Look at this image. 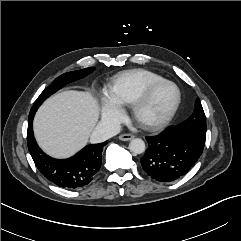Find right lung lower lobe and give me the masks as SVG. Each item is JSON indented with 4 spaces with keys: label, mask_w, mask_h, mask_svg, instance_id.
<instances>
[{
    "label": "right lung lower lobe",
    "mask_w": 241,
    "mask_h": 241,
    "mask_svg": "<svg viewBox=\"0 0 241 241\" xmlns=\"http://www.w3.org/2000/svg\"><path fill=\"white\" fill-rule=\"evenodd\" d=\"M36 110H31L28 120L27 144L38 170L51 182L66 189H76L89 184L99 171L103 147L108 141L87 145L68 159H54L37 145L32 129Z\"/></svg>",
    "instance_id": "98d812e1"
}]
</instances>
